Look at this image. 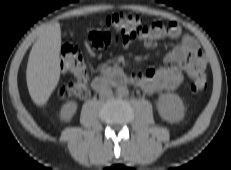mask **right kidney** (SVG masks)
<instances>
[{"label":"right kidney","instance_id":"right-kidney-1","mask_svg":"<svg viewBox=\"0 0 231 170\" xmlns=\"http://www.w3.org/2000/svg\"><path fill=\"white\" fill-rule=\"evenodd\" d=\"M77 111V103L74 101L64 104L60 111V117L64 121H70Z\"/></svg>","mask_w":231,"mask_h":170}]
</instances>
